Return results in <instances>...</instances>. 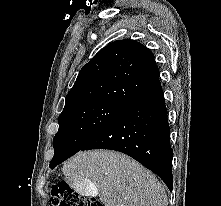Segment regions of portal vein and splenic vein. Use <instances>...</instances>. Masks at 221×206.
I'll list each match as a JSON object with an SVG mask.
<instances>
[{
    "label": "portal vein and splenic vein",
    "mask_w": 221,
    "mask_h": 206,
    "mask_svg": "<svg viewBox=\"0 0 221 206\" xmlns=\"http://www.w3.org/2000/svg\"><path fill=\"white\" fill-rule=\"evenodd\" d=\"M94 191H95V189H94V187L92 186V187H91V192H94Z\"/></svg>",
    "instance_id": "portal-vein-and-splenic-vein-1"
}]
</instances>
